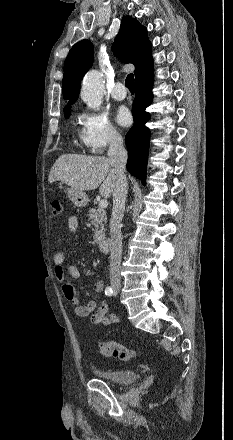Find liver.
<instances>
[{"label":"liver","instance_id":"6515ba94","mask_svg":"<svg viewBox=\"0 0 233 440\" xmlns=\"http://www.w3.org/2000/svg\"><path fill=\"white\" fill-rule=\"evenodd\" d=\"M109 158L76 154L61 155L52 166L48 181H61L79 191L99 187L103 197H109L114 190L116 172Z\"/></svg>","mask_w":233,"mask_h":440}]
</instances>
